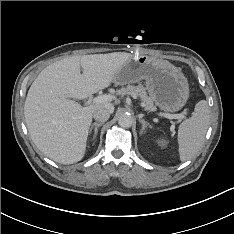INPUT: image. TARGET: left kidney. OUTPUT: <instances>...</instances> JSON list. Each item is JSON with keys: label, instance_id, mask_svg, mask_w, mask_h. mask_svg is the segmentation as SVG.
Segmentation results:
<instances>
[{"label": "left kidney", "instance_id": "1", "mask_svg": "<svg viewBox=\"0 0 234 234\" xmlns=\"http://www.w3.org/2000/svg\"><path fill=\"white\" fill-rule=\"evenodd\" d=\"M160 143H161L162 146L165 145V142H164V141H161Z\"/></svg>", "mask_w": 234, "mask_h": 234}]
</instances>
